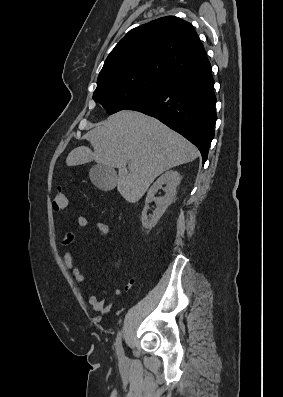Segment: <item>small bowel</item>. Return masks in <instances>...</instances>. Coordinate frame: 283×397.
Wrapping results in <instances>:
<instances>
[{
    "label": "small bowel",
    "instance_id": "obj_1",
    "mask_svg": "<svg viewBox=\"0 0 283 397\" xmlns=\"http://www.w3.org/2000/svg\"><path fill=\"white\" fill-rule=\"evenodd\" d=\"M76 221L78 227L81 229L85 228L88 225V220L84 215H78ZM95 226L101 235H107L110 231L109 226L104 222L97 221L95 223ZM73 240H74L73 232L68 231L65 234L64 238L62 239V244L64 246H69L72 244ZM63 262L65 267L72 272L75 281L79 284H84L86 281L85 276L82 270L78 266L74 265V257L71 251H67L64 254ZM104 295H105L104 290H100L99 294L89 293L87 295L88 304L92 307V309L95 312H98L102 315L109 313L110 310L112 309L111 305L105 306Z\"/></svg>",
    "mask_w": 283,
    "mask_h": 397
}]
</instances>
